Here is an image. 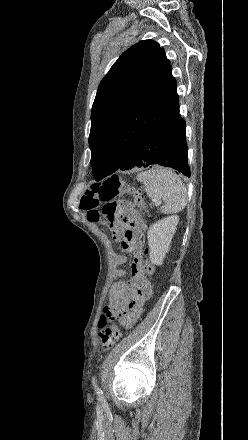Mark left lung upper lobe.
<instances>
[{
	"instance_id": "5c2ea615",
	"label": "left lung upper lobe",
	"mask_w": 248,
	"mask_h": 440,
	"mask_svg": "<svg viewBox=\"0 0 248 440\" xmlns=\"http://www.w3.org/2000/svg\"><path fill=\"white\" fill-rule=\"evenodd\" d=\"M176 87L155 41H140L118 58L92 106L89 145L97 181L115 172L129 149L177 108Z\"/></svg>"
}]
</instances>
